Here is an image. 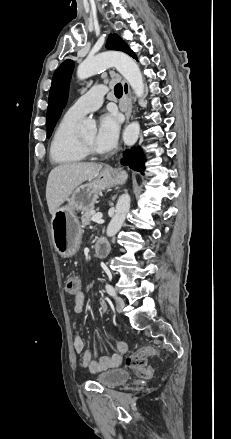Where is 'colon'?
Here are the masks:
<instances>
[{"mask_svg":"<svg viewBox=\"0 0 231 439\" xmlns=\"http://www.w3.org/2000/svg\"><path fill=\"white\" fill-rule=\"evenodd\" d=\"M65 289L69 295L76 298L78 296V290L86 289V287L82 285L79 276H70L65 281ZM156 354L157 350L154 347L147 346L140 348L126 358V365L141 377L150 378L153 371L152 368L148 366L147 358L149 356H155Z\"/></svg>","mask_w":231,"mask_h":439,"instance_id":"5ec220e1","label":"colon"}]
</instances>
